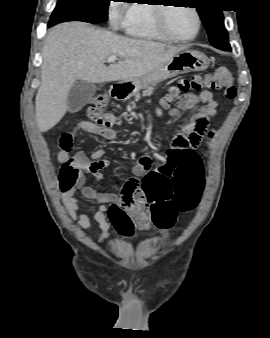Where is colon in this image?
Listing matches in <instances>:
<instances>
[{
    "label": "colon",
    "instance_id": "colon-1",
    "mask_svg": "<svg viewBox=\"0 0 270 338\" xmlns=\"http://www.w3.org/2000/svg\"><path fill=\"white\" fill-rule=\"evenodd\" d=\"M202 89L221 90L227 99H233L236 95L234 80L230 72L225 67H217L213 72L204 77L195 76L190 80H182L176 91L188 92L190 90L200 91ZM175 91V92H176ZM109 98L105 93L94 95L87 108V114L91 121L97 125L108 127L116 123V118L110 113H104L103 109L107 107ZM162 109L167 108V104L161 105ZM196 124L191 131L192 144L197 147L206 137L207 120L198 116L195 120ZM186 142L183 135H177L173 140V146H180ZM68 150L67 146H60ZM140 164V162H138ZM80 175L79 168L72 162H67L63 165L59 179L60 187L65 190L71 186ZM143 185H147L146 178ZM202 192V177L200 172H195L192 179L187 185L176 184L175 191L172 195V203L157 202L149 204L141 202L139 210L146 213L148 221L157 225H168L171 223L173 215L176 212H186L196 207L199 202ZM111 223L117 227H125L131 229L132 221L126 211L115 209L111 218Z\"/></svg>",
    "mask_w": 270,
    "mask_h": 338
}]
</instances>
